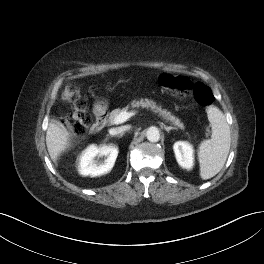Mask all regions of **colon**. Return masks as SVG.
<instances>
[{"label":"colon","instance_id":"obj_1","mask_svg":"<svg viewBox=\"0 0 264 264\" xmlns=\"http://www.w3.org/2000/svg\"><path fill=\"white\" fill-rule=\"evenodd\" d=\"M158 81L163 88L180 97L191 98L200 105L208 106L213 101L212 91L208 86L200 82L194 83L187 77L164 74ZM63 98L74 107V113L64 120L65 126L73 134H83L90 124V118L86 113V102L77 86L69 85Z\"/></svg>","mask_w":264,"mask_h":264}]
</instances>
